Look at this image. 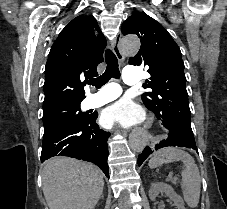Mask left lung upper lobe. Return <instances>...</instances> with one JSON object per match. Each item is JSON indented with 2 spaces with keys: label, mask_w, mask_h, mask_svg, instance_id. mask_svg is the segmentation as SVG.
<instances>
[{
  "label": "left lung upper lobe",
  "mask_w": 227,
  "mask_h": 209,
  "mask_svg": "<svg viewBox=\"0 0 227 209\" xmlns=\"http://www.w3.org/2000/svg\"><path fill=\"white\" fill-rule=\"evenodd\" d=\"M121 32L141 38V48L129 64L146 66L151 75L143 85L149 89L141 97L145 106L159 120L192 131L184 63L169 32L144 12H136L125 20Z\"/></svg>",
  "instance_id": "left-lung-upper-lobe-1"
}]
</instances>
